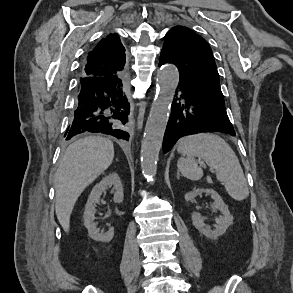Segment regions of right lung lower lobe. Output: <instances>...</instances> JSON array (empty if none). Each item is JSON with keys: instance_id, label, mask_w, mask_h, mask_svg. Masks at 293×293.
I'll use <instances>...</instances> for the list:
<instances>
[{"instance_id": "obj_1", "label": "right lung lower lobe", "mask_w": 293, "mask_h": 293, "mask_svg": "<svg viewBox=\"0 0 293 293\" xmlns=\"http://www.w3.org/2000/svg\"><path fill=\"white\" fill-rule=\"evenodd\" d=\"M130 105L123 76L84 77L66 140L83 132H101L128 140L125 131Z\"/></svg>"}]
</instances>
